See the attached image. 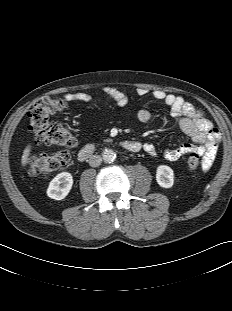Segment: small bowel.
Returning a JSON list of instances; mask_svg holds the SVG:
<instances>
[{"instance_id":"obj_1","label":"small bowel","mask_w":232,"mask_h":311,"mask_svg":"<svg viewBox=\"0 0 232 311\" xmlns=\"http://www.w3.org/2000/svg\"><path fill=\"white\" fill-rule=\"evenodd\" d=\"M105 92L113 97L119 106L126 105L128 98L125 93L110 87L105 88ZM136 92L139 96L151 95L155 100L169 106L171 115L176 119L181 130L192 140V143H182L178 147L165 149L163 151L164 158L169 161H175L183 156L194 154L202 158L203 170H208L212 166L217 153L220 133L205 118L203 113L181 96L161 89L139 87L136 89ZM65 98L67 100H90V96L85 93L79 95L68 93L65 95ZM137 118L141 123H148L152 119V113L148 109H141L137 113ZM144 150L150 155L156 154V149L151 143H146Z\"/></svg>"}]
</instances>
